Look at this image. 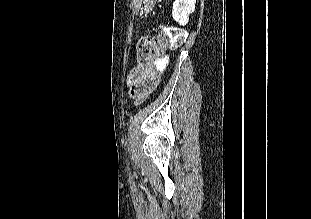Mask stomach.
<instances>
[{"instance_id": "1", "label": "stomach", "mask_w": 311, "mask_h": 219, "mask_svg": "<svg viewBox=\"0 0 311 219\" xmlns=\"http://www.w3.org/2000/svg\"><path fill=\"white\" fill-rule=\"evenodd\" d=\"M150 5H153L155 0H147Z\"/></svg>"}]
</instances>
